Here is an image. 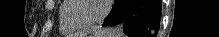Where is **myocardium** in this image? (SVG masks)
<instances>
[{
	"label": "myocardium",
	"mask_w": 219,
	"mask_h": 37,
	"mask_svg": "<svg viewBox=\"0 0 219 37\" xmlns=\"http://www.w3.org/2000/svg\"><path fill=\"white\" fill-rule=\"evenodd\" d=\"M67 2H69L70 7L65 13V18L70 25H72L73 27H76V28H80V29L93 27V26L100 24L106 18L107 14L109 12L110 3H111L110 0H102L103 9H102L101 14L97 18L90 20V21H86V22H76L70 17L72 11L76 7V1L75 0H67Z\"/></svg>",
	"instance_id": "f54148a6"
}]
</instances>
